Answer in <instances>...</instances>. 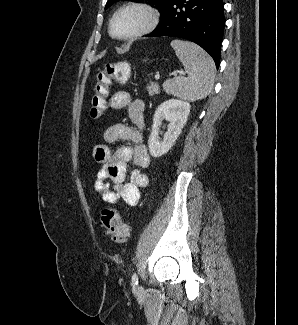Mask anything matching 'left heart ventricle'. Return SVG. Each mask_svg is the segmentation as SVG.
<instances>
[{
    "instance_id": "b2bd125f",
    "label": "left heart ventricle",
    "mask_w": 298,
    "mask_h": 325,
    "mask_svg": "<svg viewBox=\"0 0 298 325\" xmlns=\"http://www.w3.org/2000/svg\"><path fill=\"white\" fill-rule=\"evenodd\" d=\"M141 19L136 14L121 15L115 22L114 33L118 37H128L140 27Z\"/></svg>"
}]
</instances>
